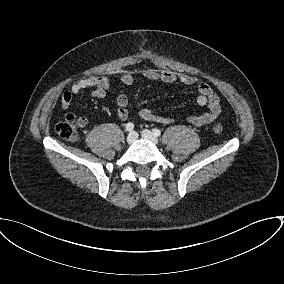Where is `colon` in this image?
I'll list each match as a JSON object with an SVG mask.
<instances>
[{
    "label": "colon",
    "instance_id": "5ec220e1",
    "mask_svg": "<svg viewBox=\"0 0 284 284\" xmlns=\"http://www.w3.org/2000/svg\"><path fill=\"white\" fill-rule=\"evenodd\" d=\"M213 130L220 134L223 132V127L221 124L216 123L213 126ZM57 134L67 140L76 141L78 139V130L75 118L72 115H66L64 119L56 125Z\"/></svg>",
    "mask_w": 284,
    "mask_h": 284
}]
</instances>
